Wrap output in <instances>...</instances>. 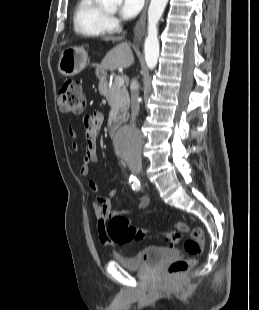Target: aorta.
Here are the masks:
<instances>
[{
	"label": "aorta",
	"instance_id": "1",
	"mask_svg": "<svg viewBox=\"0 0 259 310\" xmlns=\"http://www.w3.org/2000/svg\"><path fill=\"white\" fill-rule=\"evenodd\" d=\"M121 0H101L108 8H116ZM168 0H151L148 9V30L144 44L145 61L149 69H154L159 58L158 22L161 19ZM141 142L140 133L125 128L121 130L116 139V146L120 152H136Z\"/></svg>",
	"mask_w": 259,
	"mask_h": 310
}]
</instances>
